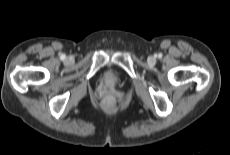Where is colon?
<instances>
[{
    "label": "colon",
    "instance_id": "colon-1",
    "mask_svg": "<svg viewBox=\"0 0 230 155\" xmlns=\"http://www.w3.org/2000/svg\"><path fill=\"white\" fill-rule=\"evenodd\" d=\"M107 105L111 106L112 105V101L110 99L107 100Z\"/></svg>",
    "mask_w": 230,
    "mask_h": 155
}]
</instances>
